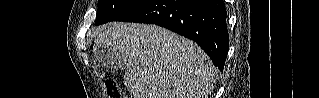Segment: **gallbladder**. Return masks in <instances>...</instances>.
Listing matches in <instances>:
<instances>
[{
  "label": "gallbladder",
  "instance_id": "bac80fb5",
  "mask_svg": "<svg viewBox=\"0 0 319 98\" xmlns=\"http://www.w3.org/2000/svg\"><path fill=\"white\" fill-rule=\"evenodd\" d=\"M97 59L104 67L123 70L128 64V59L119 53L112 52L109 48L100 47L95 52Z\"/></svg>",
  "mask_w": 319,
  "mask_h": 98
}]
</instances>
